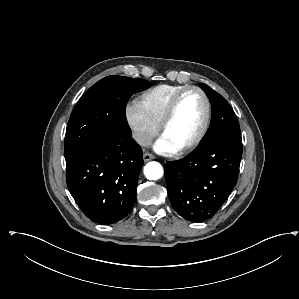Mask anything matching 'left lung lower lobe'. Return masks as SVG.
<instances>
[{
	"label": "left lung lower lobe",
	"instance_id": "obj_1",
	"mask_svg": "<svg viewBox=\"0 0 299 299\" xmlns=\"http://www.w3.org/2000/svg\"><path fill=\"white\" fill-rule=\"evenodd\" d=\"M241 157L242 142L217 139L167 162V190L177 213L192 222L212 217L237 183Z\"/></svg>",
	"mask_w": 299,
	"mask_h": 299
}]
</instances>
